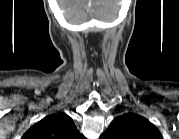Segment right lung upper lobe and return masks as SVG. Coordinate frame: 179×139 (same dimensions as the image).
Wrapping results in <instances>:
<instances>
[{
    "label": "right lung upper lobe",
    "mask_w": 179,
    "mask_h": 139,
    "mask_svg": "<svg viewBox=\"0 0 179 139\" xmlns=\"http://www.w3.org/2000/svg\"><path fill=\"white\" fill-rule=\"evenodd\" d=\"M24 139H83L73 120L65 113L49 115L33 125Z\"/></svg>",
    "instance_id": "right-lung-upper-lobe-1"
}]
</instances>
